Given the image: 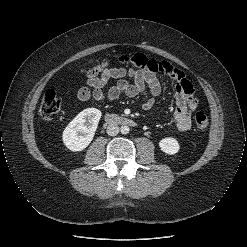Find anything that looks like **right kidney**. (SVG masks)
Segmentation results:
<instances>
[{
    "mask_svg": "<svg viewBox=\"0 0 247 247\" xmlns=\"http://www.w3.org/2000/svg\"><path fill=\"white\" fill-rule=\"evenodd\" d=\"M101 111L87 108L80 112L64 129L62 140L65 146L73 151L84 150L93 140L97 129Z\"/></svg>",
    "mask_w": 247,
    "mask_h": 247,
    "instance_id": "1",
    "label": "right kidney"
}]
</instances>
